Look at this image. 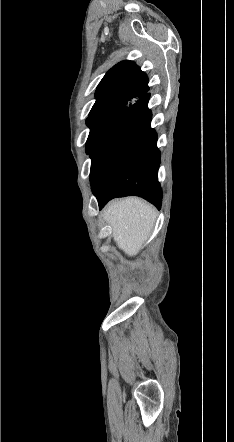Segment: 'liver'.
I'll return each instance as SVG.
<instances>
[{
    "mask_svg": "<svg viewBox=\"0 0 234 442\" xmlns=\"http://www.w3.org/2000/svg\"><path fill=\"white\" fill-rule=\"evenodd\" d=\"M103 217L113 230L117 246L129 256H134L152 231L156 211L144 200L128 197L110 202Z\"/></svg>",
    "mask_w": 234,
    "mask_h": 442,
    "instance_id": "1",
    "label": "liver"
}]
</instances>
